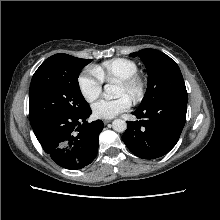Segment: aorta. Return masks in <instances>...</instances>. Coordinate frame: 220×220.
<instances>
[{"label": "aorta", "instance_id": "762f6f07", "mask_svg": "<svg viewBox=\"0 0 220 220\" xmlns=\"http://www.w3.org/2000/svg\"><path fill=\"white\" fill-rule=\"evenodd\" d=\"M103 95L106 100L113 99L116 96V87L114 85L106 84L104 86ZM112 128L116 132H124L127 129V123L122 119H115L112 122Z\"/></svg>", "mask_w": 220, "mask_h": 220}]
</instances>
